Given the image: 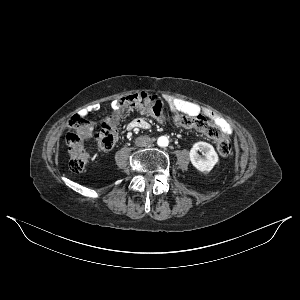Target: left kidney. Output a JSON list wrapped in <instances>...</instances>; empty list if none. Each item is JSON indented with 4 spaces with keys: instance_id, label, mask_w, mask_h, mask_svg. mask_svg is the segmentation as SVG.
I'll use <instances>...</instances> for the list:
<instances>
[{
    "instance_id": "1",
    "label": "left kidney",
    "mask_w": 300,
    "mask_h": 300,
    "mask_svg": "<svg viewBox=\"0 0 300 300\" xmlns=\"http://www.w3.org/2000/svg\"><path fill=\"white\" fill-rule=\"evenodd\" d=\"M202 152L205 157H201L198 152ZM192 165L201 172H210L218 162V155L214 147L207 142L195 143L189 153Z\"/></svg>"
}]
</instances>
